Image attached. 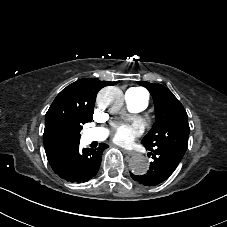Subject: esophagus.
<instances>
[{"instance_id": "obj_1", "label": "esophagus", "mask_w": 227, "mask_h": 227, "mask_svg": "<svg viewBox=\"0 0 227 227\" xmlns=\"http://www.w3.org/2000/svg\"><path fill=\"white\" fill-rule=\"evenodd\" d=\"M124 153L129 155L131 158H136L137 157V152L136 151L124 150Z\"/></svg>"}]
</instances>
